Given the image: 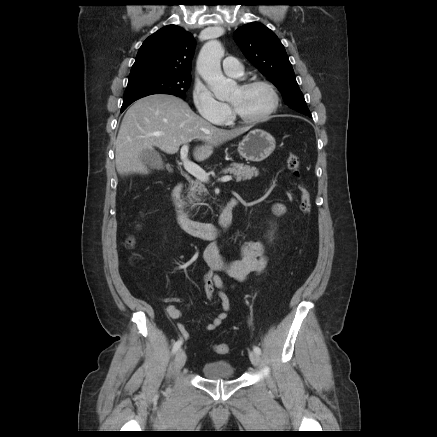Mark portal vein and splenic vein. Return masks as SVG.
Returning <instances> with one entry per match:
<instances>
[{
  "mask_svg": "<svg viewBox=\"0 0 437 437\" xmlns=\"http://www.w3.org/2000/svg\"><path fill=\"white\" fill-rule=\"evenodd\" d=\"M188 150H189V147L186 144L183 145L181 150H180V158L183 162L184 169L188 173L193 175L197 180H199L201 182H207L209 180V175L201 167H199L197 164L191 162L188 159ZM231 179H232V177L227 175V176L222 177L220 179V181L227 182V181H230Z\"/></svg>",
  "mask_w": 437,
  "mask_h": 437,
  "instance_id": "18ae733b",
  "label": "portal vein and splenic vein"
}]
</instances>
